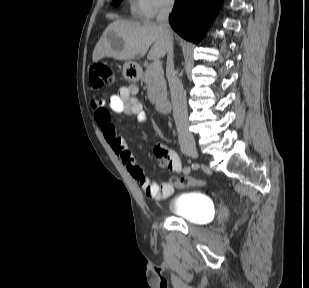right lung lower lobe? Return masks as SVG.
<instances>
[{"label":"right lung lower lobe","instance_id":"98d812e1","mask_svg":"<svg viewBox=\"0 0 309 288\" xmlns=\"http://www.w3.org/2000/svg\"><path fill=\"white\" fill-rule=\"evenodd\" d=\"M221 2L222 0H176L170 25L183 38L198 43Z\"/></svg>","mask_w":309,"mask_h":288}]
</instances>
